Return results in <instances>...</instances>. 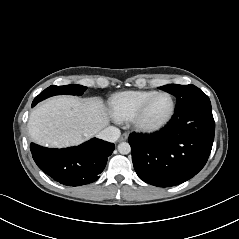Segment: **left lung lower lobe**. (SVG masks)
I'll use <instances>...</instances> for the list:
<instances>
[{"label":"left lung lower lobe","mask_w":239,"mask_h":239,"mask_svg":"<svg viewBox=\"0 0 239 239\" xmlns=\"http://www.w3.org/2000/svg\"><path fill=\"white\" fill-rule=\"evenodd\" d=\"M215 132L209 98L175 109L171 121L152 135L129 136L137 175L146 183L170 187L195 176L206 164Z\"/></svg>","instance_id":"0a47b994"}]
</instances>
